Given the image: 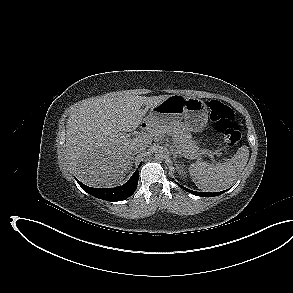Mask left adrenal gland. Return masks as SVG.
Here are the masks:
<instances>
[{"mask_svg": "<svg viewBox=\"0 0 293 293\" xmlns=\"http://www.w3.org/2000/svg\"><path fill=\"white\" fill-rule=\"evenodd\" d=\"M173 158L176 159L178 157V152L176 149H172Z\"/></svg>", "mask_w": 293, "mask_h": 293, "instance_id": "a2214340", "label": "left adrenal gland"}]
</instances>
